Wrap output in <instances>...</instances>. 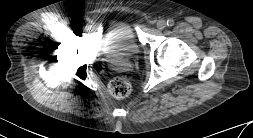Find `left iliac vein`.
I'll use <instances>...</instances> for the list:
<instances>
[{"mask_svg": "<svg viewBox=\"0 0 253 138\" xmlns=\"http://www.w3.org/2000/svg\"><path fill=\"white\" fill-rule=\"evenodd\" d=\"M165 27H166V22H165L164 20H159V21L157 22V28H158L159 30H163Z\"/></svg>", "mask_w": 253, "mask_h": 138, "instance_id": "1", "label": "left iliac vein"}]
</instances>
